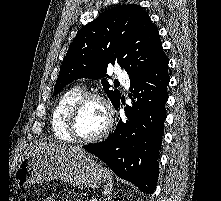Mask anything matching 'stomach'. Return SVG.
I'll list each match as a JSON object with an SVG mask.
<instances>
[{"instance_id":"stomach-1","label":"stomach","mask_w":221,"mask_h":201,"mask_svg":"<svg viewBox=\"0 0 221 201\" xmlns=\"http://www.w3.org/2000/svg\"><path fill=\"white\" fill-rule=\"evenodd\" d=\"M106 178V170L86 152H34L19 163L14 174L19 187L60 179L79 188H97Z\"/></svg>"}]
</instances>
